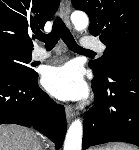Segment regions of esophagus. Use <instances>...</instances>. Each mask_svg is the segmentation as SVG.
Here are the masks:
<instances>
[{
  "instance_id": "1",
  "label": "esophagus",
  "mask_w": 139,
  "mask_h": 150,
  "mask_svg": "<svg viewBox=\"0 0 139 150\" xmlns=\"http://www.w3.org/2000/svg\"><path fill=\"white\" fill-rule=\"evenodd\" d=\"M60 15L62 17L63 22L67 26V28H71L70 20H69V16H70V1L69 0H62L61 5H60ZM65 111H66L67 121L70 122L71 119L75 115L73 107L71 105H67L65 107Z\"/></svg>"
}]
</instances>
